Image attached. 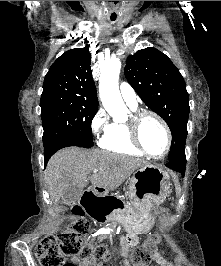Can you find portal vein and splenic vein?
Segmentation results:
<instances>
[{
	"mask_svg": "<svg viewBox=\"0 0 221 266\" xmlns=\"http://www.w3.org/2000/svg\"><path fill=\"white\" fill-rule=\"evenodd\" d=\"M98 172V170L97 169H93V173H97Z\"/></svg>",
	"mask_w": 221,
	"mask_h": 266,
	"instance_id": "portal-vein-and-splenic-vein-1",
	"label": "portal vein and splenic vein"
}]
</instances>
